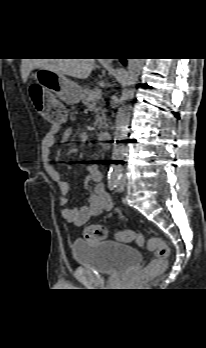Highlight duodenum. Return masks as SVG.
Returning <instances> with one entry per match:
<instances>
[{
    "label": "duodenum",
    "instance_id": "obj_1",
    "mask_svg": "<svg viewBox=\"0 0 206 348\" xmlns=\"http://www.w3.org/2000/svg\"><path fill=\"white\" fill-rule=\"evenodd\" d=\"M111 133L109 131H103L99 134V139L101 141H107L110 139Z\"/></svg>",
    "mask_w": 206,
    "mask_h": 348
}]
</instances>
